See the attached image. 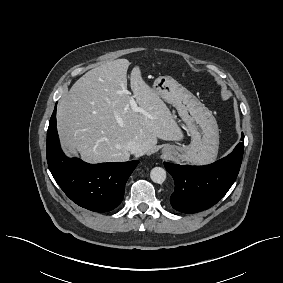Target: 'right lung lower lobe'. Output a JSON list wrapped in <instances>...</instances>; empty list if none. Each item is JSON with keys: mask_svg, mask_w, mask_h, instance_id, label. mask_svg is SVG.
<instances>
[{"mask_svg": "<svg viewBox=\"0 0 283 283\" xmlns=\"http://www.w3.org/2000/svg\"><path fill=\"white\" fill-rule=\"evenodd\" d=\"M47 162L57 184L77 205L95 212L117 207L125 184L139 161L88 164L68 158L60 148L56 128V106L47 131Z\"/></svg>", "mask_w": 283, "mask_h": 283, "instance_id": "98d812e1", "label": "right lung lower lobe"}]
</instances>
